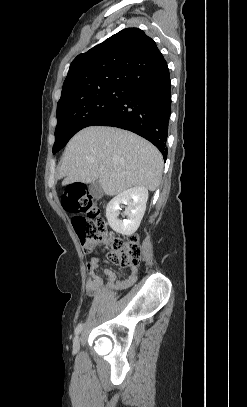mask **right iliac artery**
Segmentation results:
<instances>
[{
  "label": "right iliac artery",
  "mask_w": 247,
  "mask_h": 407,
  "mask_svg": "<svg viewBox=\"0 0 247 407\" xmlns=\"http://www.w3.org/2000/svg\"><path fill=\"white\" fill-rule=\"evenodd\" d=\"M83 324H79L75 329V334L78 335L82 330Z\"/></svg>",
  "instance_id": "right-iliac-artery-1"
}]
</instances>
